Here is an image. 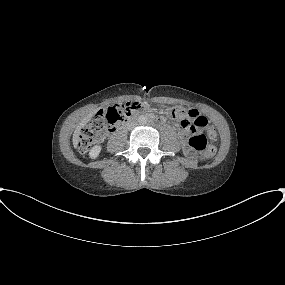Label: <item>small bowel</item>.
<instances>
[{
    "mask_svg": "<svg viewBox=\"0 0 285 285\" xmlns=\"http://www.w3.org/2000/svg\"><path fill=\"white\" fill-rule=\"evenodd\" d=\"M198 116H200V113H199V111H197L196 109H191V110H189L188 111V113L187 114H183L182 116H181V122L182 121H185L186 119H195V118H197ZM184 153H185V155H187V156H191L192 154L191 153H187V152H185L184 151Z\"/></svg>",
    "mask_w": 285,
    "mask_h": 285,
    "instance_id": "c3829d8e",
    "label": "small bowel"
}]
</instances>
